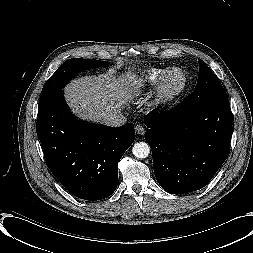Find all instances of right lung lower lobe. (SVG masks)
Listing matches in <instances>:
<instances>
[{"mask_svg": "<svg viewBox=\"0 0 253 253\" xmlns=\"http://www.w3.org/2000/svg\"><path fill=\"white\" fill-rule=\"evenodd\" d=\"M36 129L48 168L72 195L92 201L115 191L118 162L134 141L132 123L113 128L80 121L61 92L38 111Z\"/></svg>", "mask_w": 253, "mask_h": 253, "instance_id": "obj_1", "label": "right lung lower lobe"}]
</instances>
